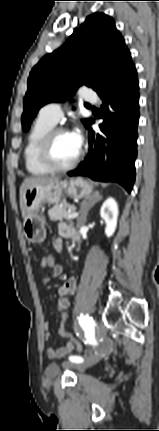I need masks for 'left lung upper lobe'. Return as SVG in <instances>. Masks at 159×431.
Here are the masks:
<instances>
[{
    "instance_id": "1",
    "label": "left lung upper lobe",
    "mask_w": 159,
    "mask_h": 431,
    "mask_svg": "<svg viewBox=\"0 0 159 431\" xmlns=\"http://www.w3.org/2000/svg\"><path fill=\"white\" fill-rule=\"evenodd\" d=\"M130 64V52L113 19L103 13L90 15L63 46L32 69L24 98L23 130L30 128L42 106L65 101L82 85L99 94ZM91 121L85 119V126Z\"/></svg>"
}]
</instances>
